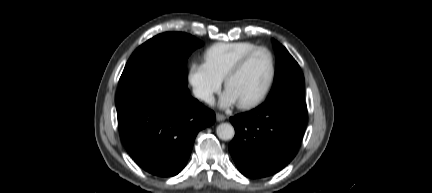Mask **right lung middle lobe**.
<instances>
[{"label":"right lung middle lobe","mask_w":432,"mask_h":193,"mask_svg":"<svg viewBox=\"0 0 432 193\" xmlns=\"http://www.w3.org/2000/svg\"><path fill=\"white\" fill-rule=\"evenodd\" d=\"M203 43L180 32L159 34L138 47L119 80V90L144 81H157L177 91H187L186 63Z\"/></svg>","instance_id":"1"}]
</instances>
